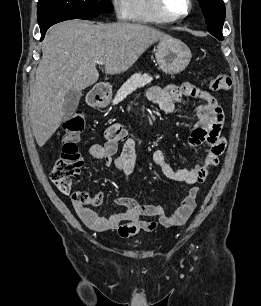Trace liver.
<instances>
[{
  "mask_svg": "<svg viewBox=\"0 0 261 306\" xmlns=\"http://www.w3.org/2000/svg\"><path fill=\"white\" fill-rule=\"evenodd\" d=\"M169 36L134 23L69 20L51 27L42 42V59L30 94L29 116L38 146L42 147L63 119L64 97L99 79V59L110 75L126 72L150 45Z\"/></svg>",
  "mask_w": 261,
  "mask_h": 306,
  "instance_id": "1",
  "label": "liver"
}]
</instances>
